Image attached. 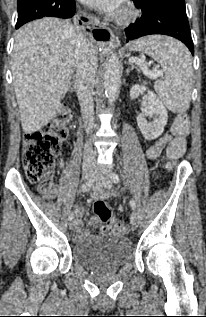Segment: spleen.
<instances>
[{"mask_svg":"<svg viewBox=\"0 0 206 317\" xmlns=\"http://www.w3.org/2000/svg\"><path fill=\"white\" fill-rule=\"evenodd\" d=\"M130 49L146 53L162 67L164 78L154 84L162 103L173 112H185L190 105L193 68L188 49L165 36H147L134 41Z\"/></svg>","mask_w":206,"mask_h":317,"instance_id":"obj_1","label":"spleen"}]
</instances>
